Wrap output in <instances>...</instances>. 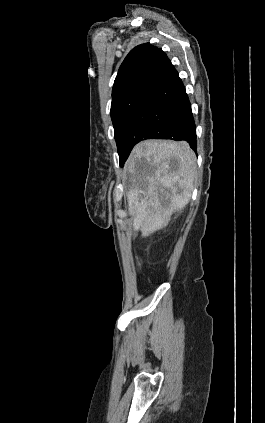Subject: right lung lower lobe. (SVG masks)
I'll list each match as a JSON object with an SVG mask.
<instances>
[{
    "label": "right lung lower lobe",
    "mask_w": 265,
    "mask_h": 423,
    "mask_svg": "<svg viewBox=\"0 0 265 423\" xmlns=\"http://www.w3.org/2000/svg\"><path fill=\"white\" fill-rule=\"evenodd\" d=\"M145 139L183 140L196 151V126L191 105L173 66L146 95L125 128L121 144L127 158L134 145Z\"/></svg>",
    "instance_id": "right-lung-lower-lobe-1"
}]
</instances>
